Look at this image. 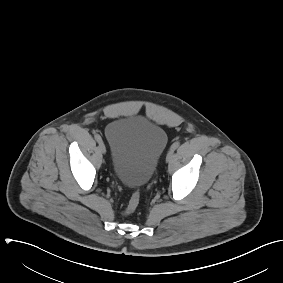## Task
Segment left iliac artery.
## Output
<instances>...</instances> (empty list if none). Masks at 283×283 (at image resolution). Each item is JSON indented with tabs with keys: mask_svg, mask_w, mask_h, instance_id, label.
<instances>
[{
	"mask_svg": "<svg viewBox=\"0 0 283 283\" xmlns=\"http://www.w3.org/2000/svg\"><path fill=\"white\" fill-rule=\"evenodd\" d=\"M179 145H180L179 142L173 143L170 147V151H175L179 147Z\"/></svg>",
	"mask_w": 283,
	"mask_h": 283,
	"instance_id": "obj_1",
	"label": "left iliac artery"
}]
</instances>
